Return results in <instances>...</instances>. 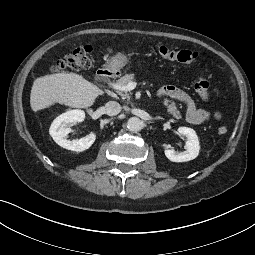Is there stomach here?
I'll list each match as a JSON object with an SVG mask.
<instances>
[{
  "label": "stomach",
  "instance_id": "1",
  "mask_svg": "<svg viewBox=\"0 0 255 255\" xmlns=\"http://www.w3.org/2000/svg\"><path fill=\"white\" fill-rule=\"evenodd\" d=\"M128 62V57L122 53L118 52L115 55L111 56L107 62V67L112 72L120 71Z\"/></svg>",
  "mask_w": 255,
  "mask_h": 255
}]
</instances>
